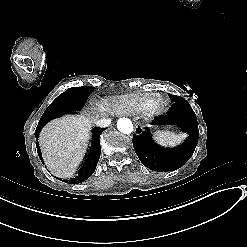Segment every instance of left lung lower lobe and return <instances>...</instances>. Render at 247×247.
Returning <instances> with one entry per match:
<instances>
[{
	"label": "left lung lower lobe",
	"mask_w": 247,
	"mask_h": 247,
	"mask_svg": "<svg viewBox=\"0 0 247 247\" xmlns=\"http://www.w3.org/2000/svg\"><path fill=\"white\" fill-rule=\"evenodd\" d=\"M160 124H177L189 134L188 140L178 148L166 149L157 145L148 129L133 136L134 150L144 166L154 171H173L182 167L193 155L198 143L199 130L196 115L189 104H174L167 118Z\"/></svg>",
	"instance_id": "1"
}]
</instances>
